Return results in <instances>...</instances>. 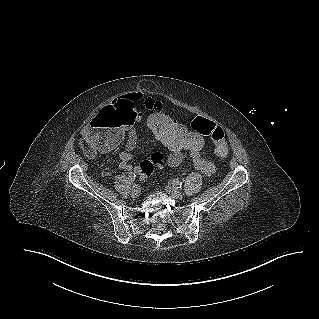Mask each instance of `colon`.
Returning <instances> with one entry per match:
<instances>
[{"instance_id": "1", "label": "colon", "mask_w": 319, "mask_h": 319, "mask_svg": "<svg viewBox=\"0 0 319 319\" xmlns=\"http://www.w3.org/2000/svg\"><path fill=\"white\" fill-rule=\"evenodd\" d=\"M147 130L153 136L159 137L169 147L175 148L180 152L197 153L201 152L207 146L209 136L214 142L215 154L219 158H225L228 155L229 147L226 141L227 132L222 126L206 120L200 116L193 120L191 127L199 131L202 135H194L193 130L187 126L174 122V120L165 113H153L147 119ZM80 148L83 153L92 157L97 151L90 148L86 141V136L80 142ZM165 156L161 152H154L149 159L139 164L138 172L142 179L149 177L156 166L164 163Z\"/></svg>"}]
</instances>
